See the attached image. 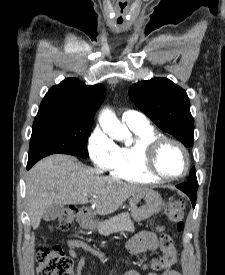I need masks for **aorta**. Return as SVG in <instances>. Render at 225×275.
<instances>
[{
	"label": "aorta",
	"instance_id": "762f6f07",
	"mask_svg": "<svg viewBox=\"0 0 225 275\" xmlns=\"http://www.w3.org/2000/svg\"><path fill=\"white\" fill-rule=\"evenodd\" d=\"M99 123L102 130L111 138L125 141L126 145L131 144V133L110 109L106 108L101 112Z\"/></svg>",
	"mask_w": 225,
	"mask_h": 275
}]
</instances>
